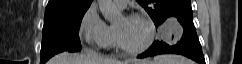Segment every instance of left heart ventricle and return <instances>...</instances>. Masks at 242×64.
I'll return each instance as SVG.
<instances>
[{"mask_svg":"<svg viewBox=\"0 0 242 64\" xmlns=\"http://www.w3.org/2000/svg\"><path fill=\"white\" fill-rule=\"evenodd\" d=\"M116 28L119 30L123 42L130 47H139L144 44L149 34L147 24L137 19L122 17L116 23Z\"/></svg>","mask_w":242,"mask_h":64,"instance_id":"b2bd125f","label":"left heart ventricle"}]
</instances>
